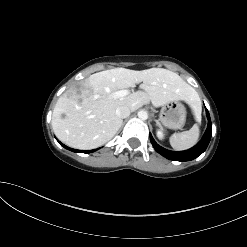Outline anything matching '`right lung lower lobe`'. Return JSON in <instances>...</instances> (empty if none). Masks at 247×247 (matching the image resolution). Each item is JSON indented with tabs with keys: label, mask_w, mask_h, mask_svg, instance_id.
Here are the masks:
<instances>
[{
	"label": "right lung lower lobe",
	"mask_w": 247,
	"mask_h": 247,
	"mask_svg": "<svg viewBox=\"0 0 247 247\" xmlns=\"http://www.w3.org/2000/svg\"><path fill=\"white\" fill-rule=\"evenodd\" d=\"M57 141H58V140H57ZM58 142H59L63 147H65L66 149L71 150V151H73V152L92 153V152L95 151V149H94V150H89V151L76 150V149H72V148L67 147L66 145L62 144L60 141H58Z\"/></svg>",
	"instance_id": "right-lung-lower-lobe-1"
}]
</instances>
